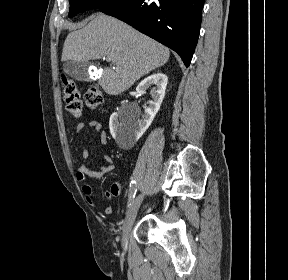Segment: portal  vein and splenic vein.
Masks as SVG:
<instances>
[{
	"label": "portal vein and splenic vein",
	"instance_id": "18ae733b",
	"mask_svg": "<svg viewBox=\"0 0 288 280\" xmlns=\"http://www.w3.org/2000/svg\"><path fill=\"white\" fill-rule=\"evenodd\" d=\"M106 60H107V61H111V57L107 56V57H106Z\"/></svg>",
	"mask_w": 288,
	"mask_h": 280
}]
</instances>
